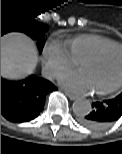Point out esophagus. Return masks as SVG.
Wrapping results in <instances>:
<instances>
[{
	"mask_svg": "<svg viewBox=\"0 0 122 154\" xmlns=\"http://www.w3.org/2000/svg\"><path fill=\"white\" fill-rule=\"evenodd\" d=\"M64 93H65V95H66L70 100H76V99L78 98L77 95H74V94H72V93H70V92H67V91H65V90H64Z\"/></svg>",
	"mask_w": 122,
	"mask_h": 154,
	"instance_id": "1",
	"label": "esophagus"
}]
</instances>
